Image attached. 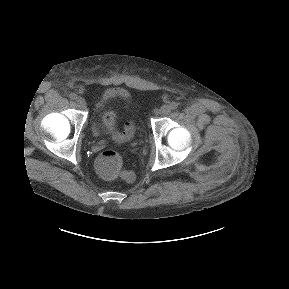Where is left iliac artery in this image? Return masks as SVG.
Listing matches in <instances>:
<instances>
[{"instance_id":"44dca946","label":"left iliac artery","mask_w":289,"mask_h":289,"mask_svg":"<svg viewBox=\"0 0 289 289\" xmlns=\"http://www.w3.org/2000/svg\"><path fill=\"white\" fill-rule=\"evenodd\" d=\"M178 103L177 102H172L171 104H170V108L172 109V110H175V109H177L178 108Z\"/></svg>"}]
</instances>
